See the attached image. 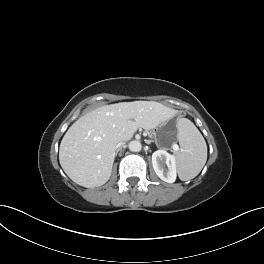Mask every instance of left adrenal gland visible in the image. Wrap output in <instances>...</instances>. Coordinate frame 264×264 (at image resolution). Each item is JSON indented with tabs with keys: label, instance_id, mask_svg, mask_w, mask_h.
Here are the masks:
<instances>
[{
	"label": "left adrenal gland",
	"instance_id": "left-adrenal-gland-1",
	"mask_svg": "<svg viewBox=\"0 0 264 264\" xmlns=\"http://www.w3.org/2000/svg\"><path fill=\"white\" fill-rule=\"evenodd\" d=\"M152 141H147V144H150Z\"/></svg>",
	"mask_w": 264,
	"mask_h": 264
}]
</instances>
